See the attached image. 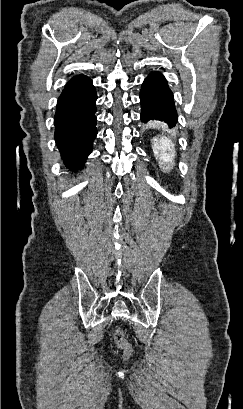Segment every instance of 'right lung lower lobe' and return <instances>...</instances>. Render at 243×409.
I'll return each instance as SVG.
<instances>
[{"mask_svg": "<svg viewBox=\"0 0 243 409\" xmlns=\"http://www.w3.org/2000/svg\"><path fill=\"white\" fill-rule=\"evenodd\" d=\"M97 99L92 80L85 75L73 77L63 89L54 116L55 140L70 169H80L92 151L97 135Z\"/></svg>", "mask_w": 243, "mask_h": 409, "instance_id": "right-lung-lower-lobe-1", "label": "right lung lower lobe"}]
</instances>
